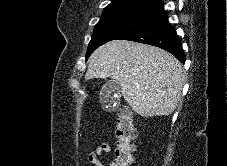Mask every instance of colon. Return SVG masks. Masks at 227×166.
Here are the masks:
<instances>
[{
    "instance_id": "5ec220e1",
    "label": "colon",
    "mask_w": 227,
    "mask_h": 166,
    "mask_svg": "<svg viewBox=\"0 0 227 166\" xmlns=\"http://www.w3.org/2000/svg\"><path fill=\"white\" fill-rule=\"evenodd\" d=\"M115 136L117 147L115 157L109 166L133 165L135 127L132 112L127 107H123L119 110L115 122Z\"/></svg>"
}]
</instances>
